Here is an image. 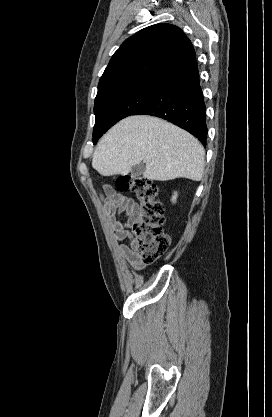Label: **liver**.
I'll return each mask as SVG.
<instances>
[{
    "mask_svg": "<svg viewBox=\"0 0 272 417\" xmlns=\"http://www.w3.org/2000/svg\"><path fill=\"white\" fill-rule=\"evenodd\" d=\"M144 161L143 176L167 181H200L205 150L179 127L151 116H130L114 125L96 147L92 166L102 176L124 175Z\"/></svg>",
    "mask_w": 272,
    "mask_h": 417,
    "instance_id": "1",
    "label": "liver"
}]
</instances>
